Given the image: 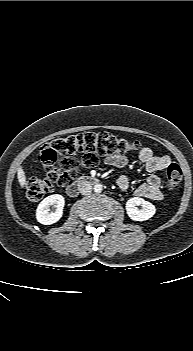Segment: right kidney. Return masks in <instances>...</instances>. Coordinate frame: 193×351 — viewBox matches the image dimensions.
<instances>
[{"instance_id": "obj_1", "label": "right kidney", "mask_w": 193, "mask_h": 351, "mask_svg": "<svg viewBox=\"0 0 193 351\" xmlns=\"http://www.w3.org/2000/svg\"><path fill=\"white\" fill-rule=\"evenodd\" d=\"M54 205L56 211L50 213V206ZM65 205L64 197L60 194H53L43 199L37 207V221L43 225H51L59 221L63 215Z\"/></svg>"}]
</instances>
